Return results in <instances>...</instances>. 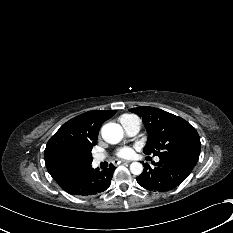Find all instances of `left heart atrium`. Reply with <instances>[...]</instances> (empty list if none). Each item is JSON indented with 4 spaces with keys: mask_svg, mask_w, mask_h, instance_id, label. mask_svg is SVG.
<instances>
[{
    "mask_svg": "<svg viewBox=\"0 0 233 233\" xmlns=\"http://www.w3.org/2000/svg\"><path fill=\"white\" fill-rule=\"evenodd\" d=\"M116 155L117 157L122 158V159H129L134 156V150L130 147H124L118 150Z\"/></svg>",
    "mask_w": 233,
    "mask_h": 233,
    "instance_id": "left-heart-atrium-1",
    "label": "left heart atrium"
}]
</instances>
